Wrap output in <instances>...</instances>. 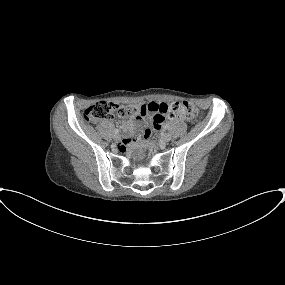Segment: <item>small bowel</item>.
Instances as JSON below:
<instances>
[{"mask_svg":"<svg viewBox=\"0 0 285 285\" xmlns=\"http://www.w3.org/2000/svg\"><path fill=\"white\" fill-rule=\"evenodd\" d=\"M141 105H145L147 108V113H150V119H151V123L153 128L159 129L161 128V126L163 125L164 121H163V110L164 108H166L168 106V104L166 103H157L154 101H150L147 102L145 104H141ZM162 119L161 121L159 119ZM187 119V117H179L178 120H184ZM146 123L145 117L143 116H139L136 117L134 119H131L130 121L127 122H123L121 124V128L124 129L125 131L128 132V135L125 137L124 141L126 144H132L135 140V133L134 130L140 126H142L143 124Z\"/></svg>","mask_w":285,"mask_h":285,"instance_id":"1","label":"small bowel"}]
</instances>
